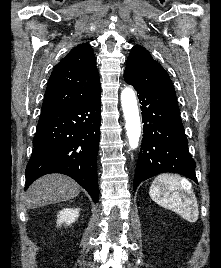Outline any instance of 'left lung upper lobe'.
I'll use <instances>...</instances> for the list:
<instances>
[{"label":"left lung upper lobe","instance_id":"5c2ea615","mask_svg":"<svg viewBox=\"0 0 221 268\" xmlns=\"http://www.w3.org/2000/svg\"><path fill=\"white\" fill-rule=\"evenodd\" d=\"M124 80L134 88L175 95L167 72L144 47L139 45L132 48L127 59Z\"/></svg>","mask_w":221,"mask_h":268}]
</instances>
